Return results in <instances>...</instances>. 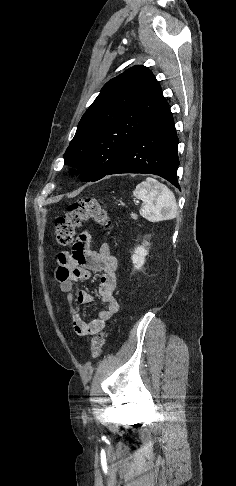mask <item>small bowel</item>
<instances>
[{"instance_id": "1", "label": "small bowel", "mask_w": 236, "mask_h": 486, "mask_svg": "<svg viewBox=\"0 0 236 486\" xmlns=\"http://www.w3.org/2000/svg\"><path fill=\"white\" fill-rule=\"evenodd\" d=\"M90 234L85 232L74 243L72 250L58 255V267L55 278L62 292L66 294L69 304L68 313L72 320L74 332L83 337H89L101 332L119 310V303L114 296L116 288L117 260L110 253L109 245L102 243L99 251L90 248ZM92 272H100L97 294L88 291H75V284L91 277ZM98 298L105 304V308L98 312L95 319L86 322L76 305L88 304Z\"/></svg>"}]
</instances>
